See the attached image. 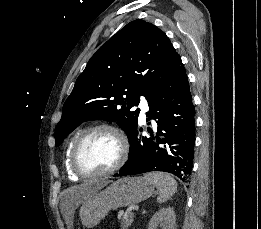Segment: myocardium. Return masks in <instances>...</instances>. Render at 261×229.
I'll use <instances>...</instances> for the list:
<instances>
[{"instance_id":"1","label":"myocardium","mask_w":261,"mask_h":229,"mask_svg":"<svg viewBox=\"0 0 261 229\" xmlns=\"http://www.w3.org/2000/svg\"><path fill=\"white\" fill-rule=\"evenodd\" d=\"M99 131H106L109 133H112L119 144V157L116 161V163L109 169L105 171H100V172H92L83 169L77 161V154L83 143L94 133L99 132ZM129 155V141L125 135V133L118 127L108 125V124H101L97 126L90 127L83 131L77 139L74 141V143L71 146L70 150V158H69V164L72 170L80 177L83 178H95V177H103V176H108L116 171H118L127 161Z\"/></svg>"}]
</instances>
